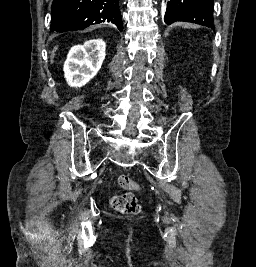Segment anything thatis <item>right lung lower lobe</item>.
I'll return each instance as SVG.
<instances>
[{
    "instance_id": "1",
    "label": "right lung lower lobe",
    "mask_w": 256,
    "mask_h": 267,
    "mask_svg": "<svg viewBox=\"0 0 256 267\" xmlns=\"http://www.w3.org/2000/svg\"><path fill=\"white\" fill-rule=\"evenodd\" d=\"M51 10V31L82 30L105 21L123 30L119 0H53Z\"/></svg>"
}]
</instances>
